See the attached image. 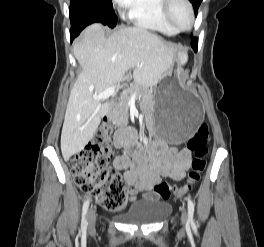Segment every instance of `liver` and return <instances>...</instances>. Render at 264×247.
I'll return each mask as SVG.
<instances>
[{
  "label": "liver",
  "mask_w": 264,
  "mask_h": 247,
  "mask_svg": "<svg viewBox=\"0 0 264 247\" xmlns=\"http://www.w3.org/2000/svg\"><path fill=\"white\" fill-rule=\"evenodd\" d=\"M106 27L89 25L73 46L82 68L70 92L61 133L65 161L93 138L111 103L93 99L107 88L131 76L141 86L156 85L173 63L172 48L141 27H125L105 36Z\"/></svg>",
  "instance_id": "obj_1"
}]
</instances>
